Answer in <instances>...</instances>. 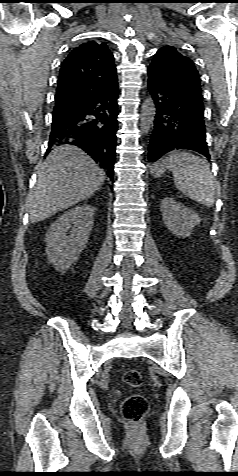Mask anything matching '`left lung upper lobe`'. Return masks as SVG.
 <instances>
[{
  "mask_svg": "<svg viewBox=\"0 0 238 476\" xmlns=\"http://www.w3.org/2000/svg\"><path fill=\"white\" fill-rule=\"evenodd\" d=\"M148 70L156 73L177 91L202 100L200 76L193 61L180 54L174 47L160 48Z\"/></svg>",
  "mask_w": 238,
  "mask_h": 476,
  "instance_id": "left-lung-upper-lobe-1",
  "label": "left lung upper lobe"
}]
</instances>
